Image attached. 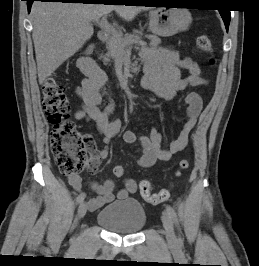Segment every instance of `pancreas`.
Returning a JSON list of instances; mask_svg holds the SVG:
<instances>
[{
  "label": "pancreas",
  "mask_w": 259,
  "mask_h": 266,
  "mask_svg": "<svg viewBox=\"0 0 259 266\" xmlns=\"http://www.w3.org/2000/svg\"><path fill=\"white\" fill-rule=\"evenodd\" d=\"M142 33L139 31H134L133 34H125L124 36L119 33L116 36H111L107 41V53L103 56L104 63H108L110 59H117L121 57L124 52V49L131 44H134V41H140ZM150 40L149 46L151 48H156L161 40L157 36L147 35Z\"/></svg>",
  "instance_id": "obj_1"
}]
</instances>
